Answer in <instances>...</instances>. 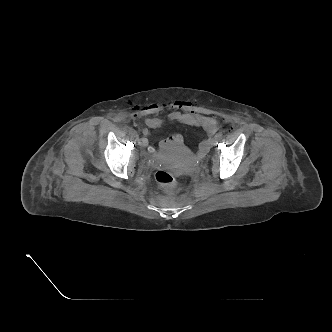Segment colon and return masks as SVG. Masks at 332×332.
Here are the masks:
<instances>
[{"label":"colon","mask_w":332,"mask_h":332,"mask_svg":"<svg viewBox=\"0 0 332 332\" xmlns=\"http://www.w3.org/2000/svg\"><path fill=\"white\" fill-rule=\"evenodd\" d=\"M155 179L161 187L169 192L174 191L177 187L176 178L166 170L157 171L155 174Z\"/></svg>","instance_id":"1"}]
</instances>
